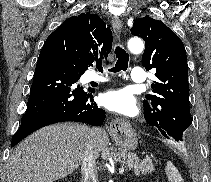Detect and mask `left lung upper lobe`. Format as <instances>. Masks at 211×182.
Masks as SVG:
<instances>
[{
	"mask_svg": "<svg viewBox=\"0 0 211 182\" xmlns=\"http://www.w3.org/2000/svg\"><path fill=\"white\" fill-rule=\"evenodd\" d=\"M131 33L145 41L142 64L156 69L153 95L143 101L146 122L166 138L191 144V114L187 56L183 42L162 21L149 16L137 19Z\"/></svg>",
	"mask_w": 211,
	"mask_h": 182,
	"instance_id": "obj_1",
	"label": "left lung upper lobe"
}]
</instances>
